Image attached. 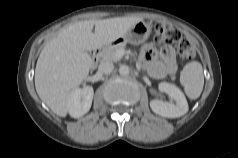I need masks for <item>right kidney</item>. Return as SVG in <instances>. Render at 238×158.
I'll return each mask as SVG.
<instances>
[{"mask_svg": "<svg viewBox=\"0 0 238 158\" xmlns=\"http://www.w3.org/2000/svg\"><path fill=\"white\" fill-rule=\"evenodd\" d=\"M94 91L91 86L75 89L68 101V112L73 118H80L91 108Z\"/></svg>", "mask_w": 238, "mask_h": 158, "instance_id": "right-kidney-1", "label": "right kidney"}]
</instances>
